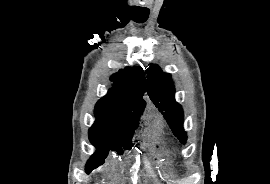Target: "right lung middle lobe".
Segmentation results:
<instances>
[{"label":"right lung middle lobe","instance_id":"right-lung-middle-lobe-1","mask_svg":"<svg viewBox=\"0 0 270 184\" xmlns=\"http://www.w3.org/2000/svg\"><path fill=\"white\" fill-rule=\"evenodd\" d=\"M139 121L129 124L95 122L89 129L90 142L97 148V151L89 159L86 165V173L89 174L104 162L108 151H116L119 155L123 148L127 149L132 144L134 130L138 127Z\"/></svg>","mask_w":270,"mask_h":184}]
</instances>
